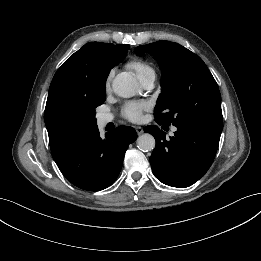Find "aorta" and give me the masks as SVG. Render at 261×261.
<instances>
[{"mask_svg":"<svg viewBox=\"0 0 261 261\" xmlns=\"http://www.w3.org/2000/svg\"><path fill=\"white\" fill-rule=\"evenodd\" d=\"M112 88L115 94L123 98H130L141 93L139 83L133 74L121 72L112 81ZM155 139L149 133L140 135L137 139V147L143 152L152 151L155 148Z\"/></svg>","mask_w":261,"mask_h":261,"instance_id":"762f6f07","label":"aorta"}]
</instances>
